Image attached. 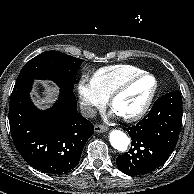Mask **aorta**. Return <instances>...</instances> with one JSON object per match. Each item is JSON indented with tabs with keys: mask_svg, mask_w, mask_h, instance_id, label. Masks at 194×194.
<instances>
[{
	"mask_svg": "<svg viewBox=\"0 0 194 194\" xmlns=\"http://www.w3.org/2000/svg\"><path fill=\"white\" fill-rule=\"evenodd\" d=\"M109 140L114 149L125 152L130 144V138L121 130H112Z\"/></svg>",
	"mask_w": 194,
	"mask_h": 194,
	"instance_id": "1",
	"label": "aorta"
}]
</instances>
